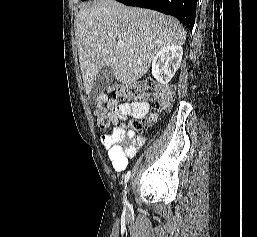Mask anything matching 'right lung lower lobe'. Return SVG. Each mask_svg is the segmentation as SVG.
I'll return each instance as SVG.
<instances>
[{
	"label": "right lung lower lobe",
	"mask_w": 257,
	"mask_h": 237,
	"mask_svg": "<svg viewBox=\"0 0 257 237\" xmlns=\"http://www.w3.org/2000/svg\"><path fill=\"white\" fill-rule=\"evenodd\" d=\"M125 5L148 8L176 17L190 31L193 29L198 0H117Z\"/></svg>",
	"instance_id": "right-lung-lower-lobe-1"
}]
</instances>
